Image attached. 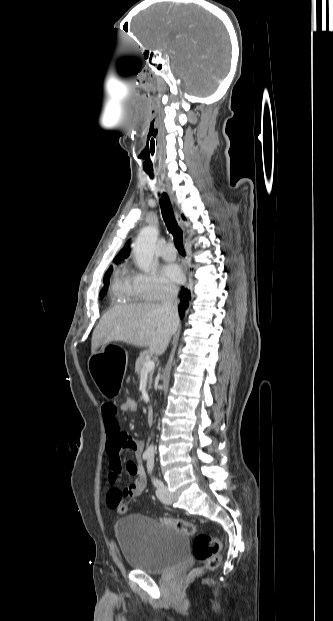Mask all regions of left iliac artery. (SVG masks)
<instances>
[{"mask_svg": "<svg viewBox=\"0 0 333 621\" xmlns=\"http://www.w3.org/2000/svg\"><path fill=\"white\" fill-rule=\"evenodd\" d=\"M153 469H154V458L149 457V459L147 460V472L151 476V481L153 485L155 487H160L162 486L163 483L161 482V480L153 476Z\"/></svg>", "mask_w": 333, "mask_h": 621, "instance_id": "1", "label": "left iliac artery"}]
</instances>
